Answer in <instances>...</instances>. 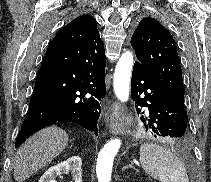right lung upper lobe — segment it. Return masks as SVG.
Returning a JSON list of instances; mask_svg holds the SVG:
<instances>
[{"mask_svg": "<svg viewBox=\"0 0 211 182\" xmlns=\"http://www.w3.org/2000/svg\"><path fill=\"white\" fill-rule=\"evenodd\" d=\"M99 37L96 20L89 15H82L63 27L52 41H85Z\"/></svg>", "mask_w": 211, "mask_h": 182, "instance_id": "obj_1", "label": "right lung upper lobe"}]
</instances>
